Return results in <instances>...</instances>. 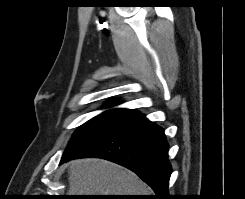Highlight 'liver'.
<instances>
[{
    "mask_svg": "<svg viewBox=\"0 0 245 199\" xmlns=\"http://www.w3.org/2000/svg\"><path fill=\"white\" fill-rule=\"evenodd\" d=\"M69 183V195H151L133 172L102 159L73 161Z\"/></svg>",
    "mask_w": 245,
    "mask_h": 199,
    "instance_id": "liver-1",
    "label": "liver"
}]
</instances>
